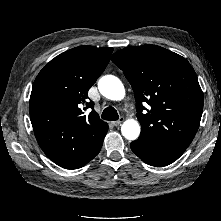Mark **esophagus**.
Instances as JSON below:
<instances>
[{"mask_svg": "<svg viewBox=\"0 0 221 221\" xmlns=\"http://www.w3.org/2000/svg\"><path fill=\"white\" fill-rule=\"evenodd\" d=\"M123 122H124V118H123V117H120L119 120L112 122V124H113L114 126H118V125H121Z\"/></svg>", "mask_w": 221, "mask_h": 221, "instance_id": "esophagus-1", "label": "esophagus"}]
</instances>
